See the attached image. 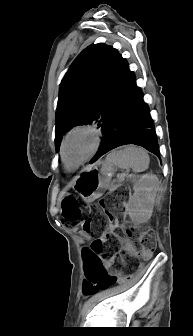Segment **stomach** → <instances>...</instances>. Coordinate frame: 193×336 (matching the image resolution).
Wrapping results in <instances>:
<instances>
[{"mask_svg": "<svg viewBox=\"0 0 193 336\" xmlns=\"http://www.w3.org/2000/svg\"><path fill=\"white\" fill-rule=\"evenodd\" d=\"M113 174V166L107 162H97L85 167L73 184L74 190L85 202L99 198L108 188Z\"/></svg>", "mask_w": 193, "mask_h": 336, "instance_id": "obj_1", "label": "stomach"}]
</instances>
